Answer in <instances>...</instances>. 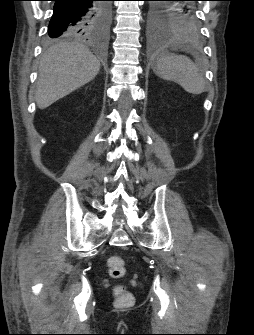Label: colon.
<instances>
[{
  "label": "colon",
  "mask_w": 254,
  "mask_h": 335,
  "mask_svg": "<svg viewBox=\"0 0 254 335\" xmlns=\"http://www.w3.org/2000/svg\"><path fill=\"white\" fill-rule=\"evenodd\" d=\"M109 274L114 279H121L126 273L124 261L119 256H111L107 262ZM116 303L119 306H129L133 303V296L122 286H116L114 289Z\"/></svg>",
  "instance_id": "5ec220e1"
}]
</instances>
